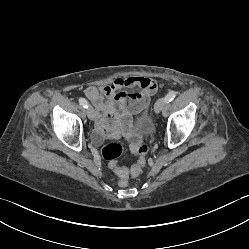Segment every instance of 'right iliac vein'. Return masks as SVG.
Instances as JSON below:
<instances>
[{"instance_id":"1","label":"right iliac vein","mask_w":249,"mask_h":249,"mask_svg":"<svg viewBox=\"0 0 249 249\" xmlns=\"http://www.w3.org/2000/svg\"><path fill=\"white\" fill-rule=\"evenodd\" d=\"M86 114L88 116V118L90 120H94L95 119V110L93 109V107L88 106L87 110H86Z\"/></svg>"}]
</instances>
